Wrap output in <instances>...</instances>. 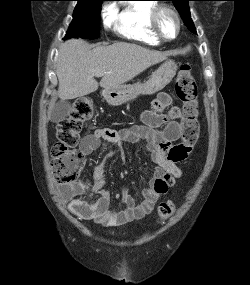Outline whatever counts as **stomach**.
Returning <instances> with one entry per match:
<instances>
[{
    "instance_id": "obj_1",
    "label": "stomach",
    "mask_w": 250,
    "mask_h": 285,
    "mask_svg": "<svg viewBox=\"0 0 250 285\" xmlns=\"http://www.w3.org/2000/svg\"><path fill=\"white\" fill-rule=\"evenodd\" d=\"M177 65L167 60L144 83L123 84L115 89H105L103 97L108 104L119 106L134 100L139 95H153L164 89L176 74Z\"/></svg>"
}]
</instances>
